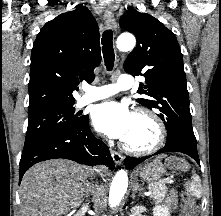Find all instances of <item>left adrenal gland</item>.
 <instances>
[{"instance_id": "obj_1", "label": "left adrenal gland", "mask_w": 221, "mask_h": 216, "mask_svg": "<svg viewBox=\"0 0 221 216\" xmlns=\"http://www.w3.org/2000/svg\"><path fill=\"white\" fill-rule=\"evenodd\" d=\"M138 191L140 192L141 189H140L138 183H135L133 186L132 194H131L132 199L135 198V193H137Z\"/></svg>"}]
</instances>
